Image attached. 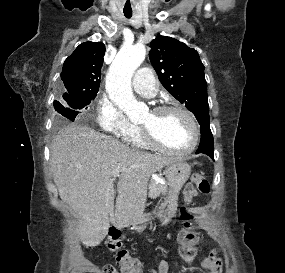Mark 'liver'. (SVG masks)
<instances>
[{
	"instance_id": "6515ba94",
	"label": "liver",
	"mask_w": 285,
	"mask_h": 273,
	"mask_svg": "<svg viewBox=\"0 0 285 273\" xmlns=\"http://www.w3.org/2000/svg\"><path fill=\"white\" fill-rule=\"evenodd\" d=\"M176 161L131 149L91 128L68 125L54 138L50 164L60 198L80 218L77 231L88 248L104 239L111 220L123 228L143 219L150 176ZM116 168L114 206L111 172Z\"/></svg>"
}]
</instances>
